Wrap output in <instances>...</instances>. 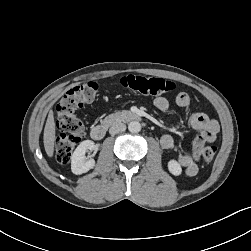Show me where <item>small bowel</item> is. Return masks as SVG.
Instances as JSON below:
<instances>
[{
  "label": "small bowel",
  "instance_id": "obj_1",
  "mask_svg": "<svg viewBox=\"0 0 251 251\" xmlns=\"http://www.w3.org/2000/svg\"><path fill=\"white\" fill-rule=\"evenodd\" d=\"M154 106L162 112H170V103L167 98L158 96L154 99ZM179 108L187 109L190 105V96L186 92H180L175 99ZM190 125L193 129L199 131V135L193 142L192 153H178L177 162L184 169L186 175L195 176L198 173V162L206 143L215 141L219 131V125L216 120L210 119L205 113L194 112L189 117ZM160 144L165 150H173L175 141L172 136L164 135L161 137Z\"/></svg>",
  "mask_w": 251,
  "mask_h": 251
}]
</instances>
